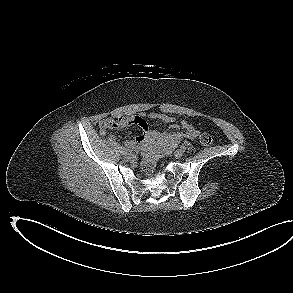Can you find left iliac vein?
<instances>
[{
	"mask_svg": "<svg viewBox=\"0 0 293 293\" xmlns=\"http://www.w3.org/2000/svg\"><path fill=\"white\" fill-rule=\"evenodd\" d=\"M183 156V151L181 149H178L175 151V157L178 159V158H181Z\"/></svg>",
	"mask_w": 293,
	"mask_h": 293,
	"instance_id": "4c4485c4",
	"label": "left iliac vein"
}]
</instances>
